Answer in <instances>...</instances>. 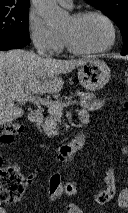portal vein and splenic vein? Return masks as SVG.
I'll return each instance as SVG.
<instances>
[{
	"mask_svg": "<svg viewBox=\"0 0 128 213\" xmlns=\"http://www.w3.org/2000/svg\"><path fill=\"white\" fill-rule=\"evenodd\" d=\"M20 101L21 102L29 101L34 104H41L47 106L49 109L58 110L60 112H62L64 107L72 106L77 103L76 100H68L67 102L60 104L58 101L44 99L38 95H31L29 97H26L25 99H21Z\"/></svg>",
	"mask_w": 128,
	"mask_h": 213,
	"instance_id": "portal-vein-and-splenic-vein-1",
	"label": "portal vein and splenic vein"
}]
</instances>
